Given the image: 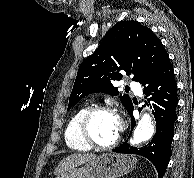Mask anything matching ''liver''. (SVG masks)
Here are the masks:
<instances>
[{"label": "liver", "instance_id": "obj_1", "mask_svg": "<svg viewBox=\"0 0 194 178\" xmlns=\"http://www.w3.org/2000/svg\"><path fill=\"white\" fill-rule=\"evenodd\" d=\"M96 158L95 154H81L74 153L64 158L56 167L54 174L59 175L69 169L75 168L79 165H83Z\"/></svg>", "mask_w": 194, "mask_h": 178}]
</instances>
